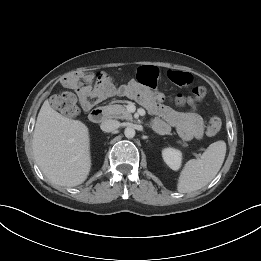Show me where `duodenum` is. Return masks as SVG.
<instances>
[{"instance_id": "duodenum-1", "label": "duodenum", "mask_w": 261, "mask_h": 261, "mask_svg": "<svg viewBox=\"0 0 261 261\" xmlns=\"http://www.w3.org/2000/svg\"><path fill=\"white\" fill-rule=\"evenodd\" d=\"M105 118H106V109L104 107H96L89 114V119L93 123H100L104 121Z\"/></svg>"}]
</instances>
